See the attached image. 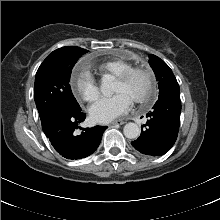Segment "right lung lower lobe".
Segmentation results:
<instances>
[{
    "label": "right lung lower lobe",
    "mask_w": 220,
    "mask_h": 220,
    "mask_svg": "<svg viewBox=\"0 0 220 220\" xmlns=\"http://www.w3.org/2000/svg\"><path fill=\"white\" fill-rule=\"evenodd\" d=\"M86 114L77 112H60L42 123L43 131L54 149L67 159H81L91 155L99 146L107 126L82 128L79 124ZM80 128L83 132L76 135Z\"/></svg>",
    "instance_id": "obj_1"
}]
</instances>
